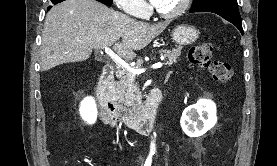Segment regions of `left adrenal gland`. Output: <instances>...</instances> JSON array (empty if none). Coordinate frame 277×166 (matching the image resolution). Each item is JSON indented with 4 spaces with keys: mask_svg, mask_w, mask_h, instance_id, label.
<instances>
[{
    "mask_svg": "<svg viewBox=\"0 0 277 166\" xmlns=\"http://www.w3.org/2000/svg\"><path fill=\"white\" fill-rule=\"evenodd\" d=\"M172 72L171 71H169L168 73H167V75H166V79H165V82H167L168 81V79H169V77H170V74H171Z\"/></svg>",
    "mask_w": 277,
    "mask_h": 166,
    "instance_id": "1",
    "label": "left adrenal gland"
}]
</instances>
